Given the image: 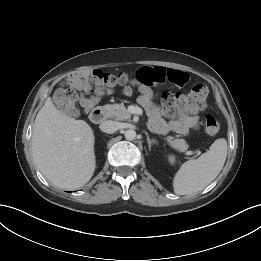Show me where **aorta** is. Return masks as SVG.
Listing matches in <instances>:
<instances>
[{
  "label": "aorta",
  "mask_w": 261,
  "mask_h": 261,
  "mask_svg": "<svg viewBox=\"0 0 261 261\" xmlns=\"http://www.w3.org/2000/svg\"><path fill=\"white\" fill-rule=\"evenodd\" d=\"M124 136L127 140L132 141L136 138V131L133 129H128L124 132Z\"/></svg>",
  "instance_id": "762f6f07"
}]
</instances>
